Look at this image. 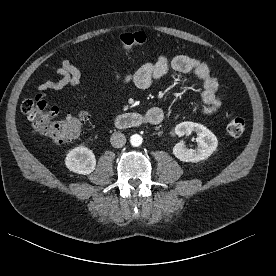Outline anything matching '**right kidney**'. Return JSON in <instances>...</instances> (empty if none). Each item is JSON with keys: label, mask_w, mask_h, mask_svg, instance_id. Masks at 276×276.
<instances>
[{"label": "right kidney", "mask_w": 276, "mask_h": 276, "mask_svg": "<svg viewBox=\"0 0 276 276\" xmlns=\"http://www.w3.org/2000/svg\"><path fill=\"white\" fill-rule=\"evenodd\" d=\"M65 165L70 171L88 175L96 167V158L90 149L79 146L69 151L65 158Z\"/></svg>", "instance_id": "ca27d5eb"}]
</instances>
